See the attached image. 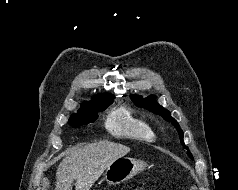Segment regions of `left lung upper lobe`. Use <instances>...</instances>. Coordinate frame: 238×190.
Wrapping results in <instances>:
<instances>
[{
  "label": "left lung upper lobe",
  "mask_w": 238,
  "mask_h": 190,
  "mask_svg": "<svg viewBox=\"0 0 238 190\" xmlns=\"http://www.w3.org/2000/svg\"><path fill=\"white\" fill-rule=\"evenodd\" d=\"M131 100L137 106L146 108L149 111L162 116L166 121L171 122L177 128V131L180 136V141L183 144L184 148L188 150V147L184 145V141H183L184 135H183V132H182L179 124L177 123V121L174 118H172L170 116V112L168 110H166L165 108H163L156 102V97L154 95H150L144 99L142 98V96L131 95ZM187 154L189 155V157H191L193 159V156L190 153V151H188Z\"/></svg>",
  "instance_id": "1"
}]
</instances>
